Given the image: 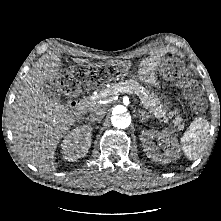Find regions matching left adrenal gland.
I'll use <instances>...</instances> for the list:
<instances>
[{"label":"left adrenal gland","mask_w":221,"mask_h":221,"mask_svg":"<svg viewBox=\"0 0 221 221\" xmlns=\"http://www.w3.org/2000/svg\"><path fill=\"white\" fill-rule=\"evenodd\" d=\"M139 117L141 119V122L147 120L149 118V115L145 114V112H139Z\"/></svg>","instance_id":"left-adrenal-gland-1"}]
</instances>
